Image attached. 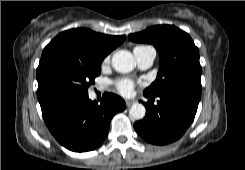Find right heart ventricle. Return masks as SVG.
<instances>
[{"label":"right heart ventricle","instance_id":"1","mask_svg":"<svg viewBox=\"0 0 245 170\" xmlns=\"http://www.w3.org/2000/svg\"><path fill=\"white\" fill-rule=\"evenodd\" d=\"M146 47H149V46L141 45V46H137L136 48H137V49H143V48H146ZM136 48H135V49H136Z\"/></svg>","mask_w":245,"mask_h":170}]
</instances>
